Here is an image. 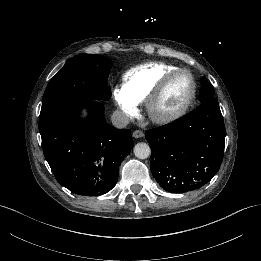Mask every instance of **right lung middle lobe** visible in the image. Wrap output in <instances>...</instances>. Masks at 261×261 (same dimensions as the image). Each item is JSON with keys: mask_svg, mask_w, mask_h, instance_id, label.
Listing matches in <instances>:
<instances>
[{"mask_svg": "<svg viewBox=\"0 0 261 261\" xmlns=\"http://www.w3.org/2000/svg\"><path fill=\"white\" fill-rule=\"evenodd\" d=\"M112 61L80 54L67 62L50 80L42 99L41 112L58 105L109 100L107 86Z\"/></svg>", "mask_w": 261, "mask_h": 261, "instance_id": "right-lung-middle-lobe-1", "label": "right lung middle lobe"}]
</instances>
